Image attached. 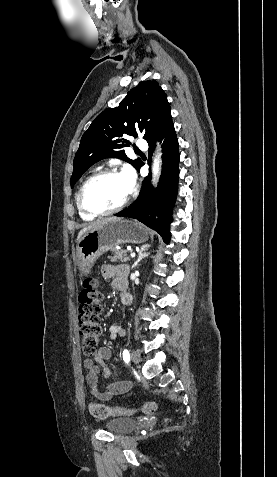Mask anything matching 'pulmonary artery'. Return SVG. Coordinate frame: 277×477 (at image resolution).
<instances>
[{
  "label": "pulmonary artery",
  "instance_id": "obj_1",
  "mask_svg": "<svg viewBox=\"0 0 277 477\" xmlns=\"http://www.w3.org/2000/svg\"><path fill=\"white\" fill-rule=\"evenodd\" d=\"M137 147H138L139 149L146 150L147 147H148V145H147V142H146V141H144V140H139V141L137 142Z\"/></svg>",
  "mask_w": 277,
  "mask_h": 477
}]
</instances>
